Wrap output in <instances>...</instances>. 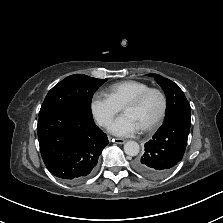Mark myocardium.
<instances>
[{
  "label": "myocardium",
  "instance_id": "obj_1",
  "mask_svg": "<svg viewBox=\"0 0 223 223\" xmlns=\"http://www.w3.org/2000/svg\"><path fill=\"white\" fill-rule=\"evenodd\" d=\"M151 93H158L161 96V98H162V109H161V112H160L159 116L151 124H149V125L140 129L142 132H152V131H154L155 129H157L161 125V123L165 119L166 114H167V110H168V98H167L166 93L160 88L150 87V88L144 90L143 92L139 93L137 96H135L133 99H131L123 107V110H124L128 107L138 106Z\"/></svg>",
  "mask_w": 223,
  "mask_h": 223
}]
</instances>
